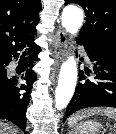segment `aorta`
Here are the masks:
<instances>
[{
  "instance_id": "obj_1",
  "label": "aorta",
  "mask_w": 116,
  "mask_h": 134,
  "mask_svg": "<svg viewBox=\"0 0 116 134\" xmlns=\"http://www.w3.org/2000/svg\"><path fill=\"white\" fill-rule=\"evenodd\" d=\"M62 26L67 32L76 34L83 23V12L80 8L69 5L62 12ZM77 82V64L74 56L63 62L60 70L58 86L55 92V107L64 109L70 102Z\"/></svg>"
}]
</instances>
